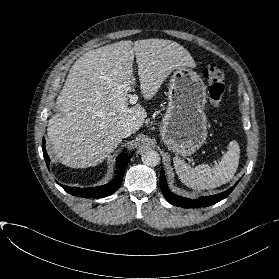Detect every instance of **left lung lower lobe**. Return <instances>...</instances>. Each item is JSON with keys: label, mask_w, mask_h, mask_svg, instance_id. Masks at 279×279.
<instances>
[{"label": "left lung lower lobe", "mask_w": 279, "mask_h": 279, "mask_svg": "<svg viewBox=\"0 0 279 279\" xmlns=\"http://www.w3.org/2000/svg\"><path fill=\"white\" fill-rule=\"evenodd\" d=\"M159 183H160V188L163 193V196L169 201V203L182 208L208 207L214 205L217 202L226 198L234 189V187H231L225 192L213 196H203L199 199H187L178 195H174L169 190L163 170H161L160 173Z\"/></svg>", "instance_id": "0a47b994"}]
</instances>
